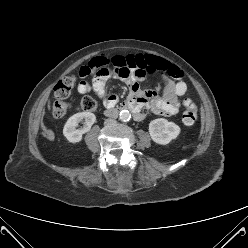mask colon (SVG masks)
<instances>
[{
    "label": "colon",
    "instance_id": "obj_1",
    "mask_svg": "<svg viewBox=\"0 0 248 248\" xmlns=\"http://www.w3.org/2000/svg\"><path fill=\"white\" fill-rule=\"evenodd\" d=\"M85 74L102 73L114 71L122 76H126L131 68V63L126 60L124 62L118 56H98L91 59L85 66ZM75 76L69 75L61 78L54 87L55 102L53 104L52 113L54 117L61 118L69 111V103L67 99L71 94V90L75 84ZM96 101L91 97H85L79 104L81 111H93L96 109ZM184 112L182 114V122L186 126H192L197 121V108L195 103L187 98L183 102Z\"/></svg>",
    "mask_w": 248,
    "mask_h": 248
}]
</instances>
